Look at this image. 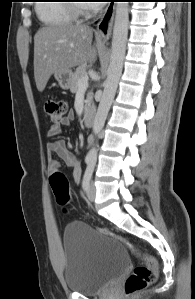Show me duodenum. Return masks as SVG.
Here are the masks:
<instances>
[{
	"label": "duodenum",
	"instance_id": "obj_1",
	"mask_svg": "<svg viewBox=\"0 0 195 299\" xmlns=\"http://www.w3.org/2000/svg\"><path fill=\"white\" fill-rule=\"evenodd\" d=\"M82 118L86 126H92L95 120V107L93 105L85 107Z\"/></svg>",
	"mask_w": 195,
	"mask_h": 299
}]
</instances>
